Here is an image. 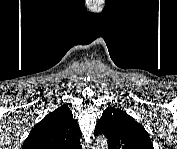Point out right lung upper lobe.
<instances>
[{"mask_svg":"<svg viewBox=\"0 0 177 149\" xmlns=\"http://www.w3.org/2000/svg\"><path fill=\"white\" fill-rule=\"evenodd\" d=\"M80 128L71 110L63 105L46 115L30 132L25 149H81Z\"/></svg>","mask_w":177,"mask_h":149,"instance_id":"1","label":"right lung upper lobe"}]
</instances>
